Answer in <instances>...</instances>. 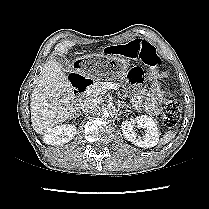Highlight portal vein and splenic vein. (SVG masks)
Instances as JSON below:
<instances>
[{"label":"portal vein and splenic vein","instance_id":"1","mask_svg":"<svg viewBox=\"0 0 209 209\" xmlns=\"http://www.w3.org/2000/svg\"><path fill=\"white\" fill-rule=\"evenodd\" d=\"M108 89H114L119 90L118 84L112 83V82H105L101 87H99L96 91L97 94L103 95L106 93Z\"/></svg>","mask_w":209,"mask_h":209}]
</instances>
